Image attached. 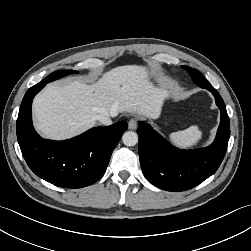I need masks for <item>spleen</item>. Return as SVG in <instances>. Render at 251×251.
Returning <instances> with one entry per match:
<instances>
[{
    "label": "spleen",
    "mask_w": 251,
    "mask_h": 251,
    "mask_svg": "<svg viewBox=\"0 0 251 251\" xmlns=\"http://www.w3.org/2000/svg\"><path fill=\"white\" fill-rule=\"evenodd\" d=\"M202 138V131L197 125L191 126L183 131L171 133L169 135L170 141L180 148H190L200 141Z\"/></svg>",
    "instance_id": "obj_1"
}]
</instances>
